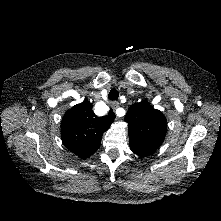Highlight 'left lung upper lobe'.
I'll use <instances>...</instances> for the list:
<instances>
[{"mask_svg": "<svg viewBox=\"0 0 221 221\" xmlns=\"http://www.w3.org/2000/svg\"><path fill=\"white\" fill-rule=\"evenodd\" d=\"M125 121L128 123L129 145L135 154L151 155L164 141L166 119L150 103L142 101L131 105Z\"/></svg>", "mask_w": 221, "mask_h": 221, "instance_id": "1", "label": "left lung upper lobe"}]
</instances>
